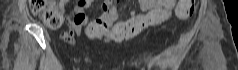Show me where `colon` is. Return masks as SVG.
I'll list each match as a JSON object with an SVG mask.
<instances>
[{
    "instance_id": "colon-1",
    "label": "colon",
    "mask_w": 238,
    "mask_h": 70,
    "mask_svg": "<svg viewBox=\"0 0 238 70\" xmlns=\"http://www.w3.org/2000/svg\"><path fill=\"white\" fill-rule=\"evenodd\" d=\"M30 9L51 29L59 28L64 22V13L51 0H30ZM195 8V0H179L175 15L180 19L190 17Z\"/></svg>"
}]
</instances>
